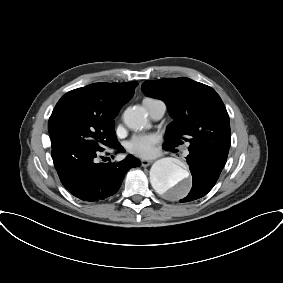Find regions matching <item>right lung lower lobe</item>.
I'll use <instances>...</instances> for the list:
<instances>
[{
  "mask_svg": "<svg viewBox=\"0 0 283 283\" xmlns=\"http://www.w3.org/2000/svg\"><path fill=\"white\" fill-rule=\"evenodd\" d=\"M111 148L120 150L121 146L117 143ZM102 151L83 148L64 158L53 159L62 184L73 196L88 202L105 200L119 190L129 169L141 165L132 155L110 165L97 163L96 157Z\"/></svg>",
  "mask_w": 283,
  "mask_h": 283,
  "instance_id": "98d812e1",
  "label": "right lung lower lobe"
}]
</instances>
